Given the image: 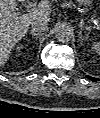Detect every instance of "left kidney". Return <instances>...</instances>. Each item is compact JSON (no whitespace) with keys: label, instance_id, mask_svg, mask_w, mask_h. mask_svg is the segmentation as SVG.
Listing matches in <instances>:
<instances>
[{"label":"left kidney","instance_id":"left-kidney-1","mask_svg":"<svg viewBox=\"0 0 100 118\" xmlns=\"http://www.w3.org/2000/svg\"><path fill=\"white\" fill-rule=\"evenodd\" d=\"M100 45L99 43H94L93 44V49L96 50L97 52L99 51Z\"/></svg>","mask_w":100,"mask_h":118}]
</instances>
